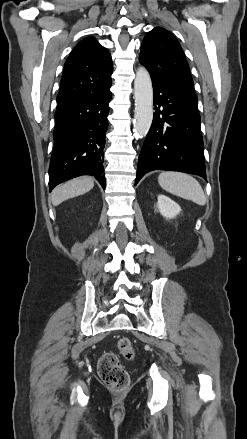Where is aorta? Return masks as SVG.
Here are the masks:
<instances>
[{"instance_id":"obj_1","label":"aorta","mask_w":247,"mask_h":439,"mask_svg":"<svg viewBox=\"0 0 247 439\" xmlns=\"http://www.w3.org/2000/svg\"><path fill=\"white\" fill-rule=\"evenodd\" d=\"M134 134L143 138L149 131L153 119V88L148 71L140 67L134 80Z\"/></svg>"}]
</instances>
